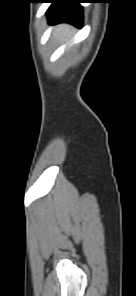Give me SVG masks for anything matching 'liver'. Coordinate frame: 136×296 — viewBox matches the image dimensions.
Instances as JSON below:
<instances>
[{
	"label": "liver",
	"instance_id": "1",
	"mask_svg": "<svg viewBox=\"0 0 136 296\" xmlns=\"http://www.w3.org/2000/svg\"><path fill=\"white\" fill-rule=\"evenodd\" d=\"M73 34L74 30L69 25H59L53 32V36L61 42L67 41Z\"/></svg>",
	"mask_w": 136,
	"mask_h": 296
}]
</instances>
